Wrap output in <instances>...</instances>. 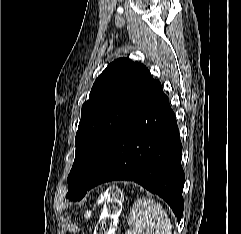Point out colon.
<instances>
[{"label": "colon", "instance_id": "obj_1", "mask_svg": "<svg viewBox=\"0 0 241 234\" xmlns=\"http://www.w3.org/2000/svg\"><path fill=\"white\" fill-rule=\"evenodd\" d=\"M103 214L96 227V234H112L116 217L121 208V194L118 189L110 188L102 196Z\"/></svg>", "mask_w": 241, "mask_h": 234}]
</instances>
